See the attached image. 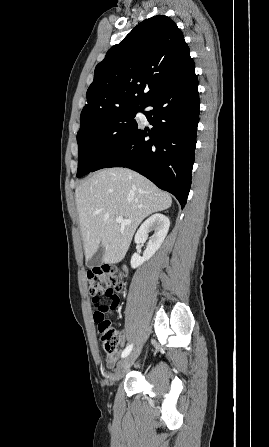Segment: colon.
Segmentation results:
<instances>
[{
    "mask_svg": "<svg viewBox=\"0 0 269 447\" xmlns=\"http://www.w3.org/2000/svg\"><path fill=\"white\" fill-rule=\"evenodd\" d=\"M88 291L90 295H101L105 297L114 296L115 298L109 305L103 303L97 296L92 298L97 311L93 317L98 323V334L103 342L104 350L112 352L121 341L120 333L112 327L107 314L120 304L119 294L123 288V281L119 274L105 273L100 266H91L86 274Z\"/></svg>",
    "mask_w": 269,
    "mask_h": 447,
    "instance_id": "1",
    "label": "colon"
}]
</instances>
